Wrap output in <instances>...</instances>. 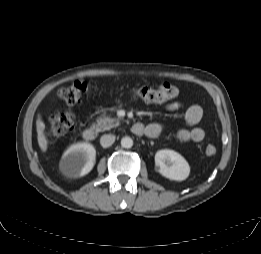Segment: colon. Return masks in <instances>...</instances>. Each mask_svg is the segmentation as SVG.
Instances as JSON below:
<instances>
[{"label":"colon","instance_id":"1","mask_svg":"<svg viewBox=\"0 0 261 254\" xmlns=\"http://www.w3.org/2000/svg\"><path fill=\"white\" fill-rule=\"evenodd\" d=\"M86 82L78 80L62 88L59 91L60 99L67 105L77 104L87 92ZM131 93L135 98H140L150 102H162L178 96L179 88L169 82H164L158 87L148 85H134ZM75 125V117L70 112H61L53 115L50 119V131L55 136H62L71 131ZM217 148L213 144L205 147L207 156H214Z\"/></svg>","mask_w":261,"mask_h":254}]
</instances>
